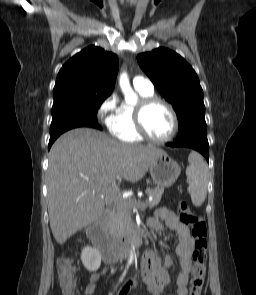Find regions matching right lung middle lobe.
Listing matches in <instances>:
<instances>
[{
  "label": "right lung middle lobe",
  "instance_id": "dd1d6c3e",
  "mask_svg": "<svg viewBox=\"0 0 256 295\" xmlns=\"http://www.w3.org/2000/svg\"><path fill=\"white\" fill-rule=\"evenodd\" d=\"M105 99L106 98H89L54 102L50 130L96 119L98 109Z\"/></svg>",
  "mask_w": 256,
  "mask_h": 295
}]
</instances>
